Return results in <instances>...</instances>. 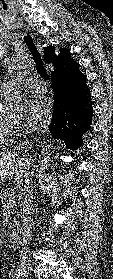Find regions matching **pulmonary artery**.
Instances as JSON below:
<instances>
[{
  "instance_id": "obj_1",
  "label": "pulmonary artery",
  "mask_w": 113,
  "mask_h": 279,
  "mask_svg": "<svg viewBox=\"0 0 113 279\" xmlns=\"http://www.w3.org/2000/svg\"><path fill=\"white\" fill-rule=\"evenodd\" d=\"M21 86L31 89L35 92H44L46 90L43 82L37 78H27L21 82ZM12 84L10 82L3 83L1 85V90L7 92L11 89Z\"/></svg>"
}]
</instances>
